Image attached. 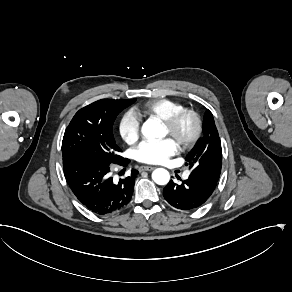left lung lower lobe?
I'll list each match as a JSON object with an SVG mask.
<instances>
[{
	"mask_svg": "<svg viewBox=\"0 0 292 292\" xmlns=\"http://www.w3.org/2000/svg\"><path fill=\"white\" fill-rule=\"evenodd\" d=\"M217 183L190 175L187 180L176 184L171 180L163 188L165 200L180 210H193L204 204L212 195Z\"/></svg>",
	"mask_w": 292,
	"mask_h": 292,
	"instance_id": "left-lung-lower-lobe-1",
	"label": "left lung lower lobe"
}]
</instances>
